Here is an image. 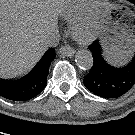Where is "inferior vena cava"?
<instances>
[{"label": "inferior vena cava", "mask_w": 135, "mask_h": 135, "mask_svg": "<svg viewBox=\"0 0 135 135\" xmlns=\"http://www.w3.org/2000/svg\"><path fill=\"white\" fill-rule=\"evenodd\" d=\"M60 39L61 37L58 30H53L44 37L43 44L46 48L55 47L60 42Z\"/></svg>", "instance_id": "obj_1"}]
</instances>
